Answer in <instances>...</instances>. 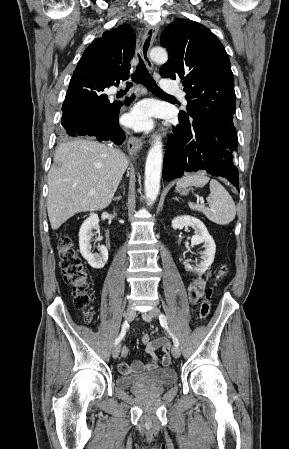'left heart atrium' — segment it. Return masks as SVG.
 <instances>
[{
  "label": "left heart atrium",
  "instance_id": "obj_1",
  "mask_svg": "<svg viewBox=\"0 0 289 449\" xmlns=\"http://www.w3.org/2000/svg\"><path fill=\"white\" fill-rule=\"evenodd\" d=\"M153 109L150 104L141 102L126 115L125 123L137 130L146 131L153 126Z\"/></svg>",
  "mask_w": 289,
  "mask_h": 449
}]
</instances>
